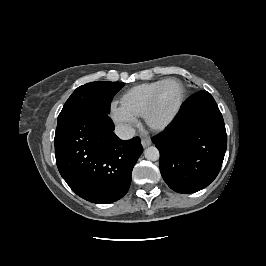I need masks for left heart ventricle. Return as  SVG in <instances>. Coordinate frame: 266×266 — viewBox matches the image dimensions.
I'll return each instance as SVG.
<instances>
[{"label":"left heart ventricle","mask_w":266,"mask_h":266,"mask_svg":"<svg viewBox=\"0 0 266 266\" xmlns=\"http://www.w3.org/2000/svg\"><path fill=\"white\" fill-rule=\"evenodd\" d=\"M181 98V87L176 82L166 84L159 93L156 107L152 113V120L155 123H162L176 109Z\"/></svg>","instance_id":"b2bd125f"}]
</instances>
